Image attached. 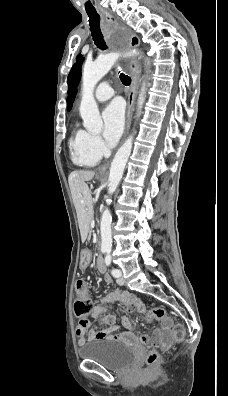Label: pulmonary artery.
<instances>
[{"label":"pulmonary artery","instance_id":"1","mask_svg":"<svg viewBox=\"0 0 228 396\" xmlns=\"http://www.w3.org/2000/svg\"><path fill=\"white\" fill-rule=\"evenodd\" d=\"M115 91L109 82H101L95 90V98L99 102L106 101L113 97Z\"/></svg>","mask_w":228,"mask_h":396}]
</instances>
